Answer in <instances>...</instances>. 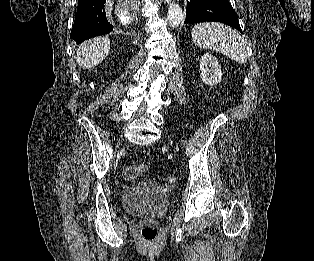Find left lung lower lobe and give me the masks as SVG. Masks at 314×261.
<instances>
[{"instance_id":"0a47b994","label":"left lung lower lobe","mask_w":314,"mask_h":261,"mask_svg":"<svg viewBox=\"0 0 314 261\" xmlns=\"http://www.w3.org/2000/svg\"><path fill=\"white\" fill-rule=\"evenodd\" d=\"M186 13L184 23L222 22L243 33L237 14L228 0H187Z\"/></svg>"}]
</instances>
